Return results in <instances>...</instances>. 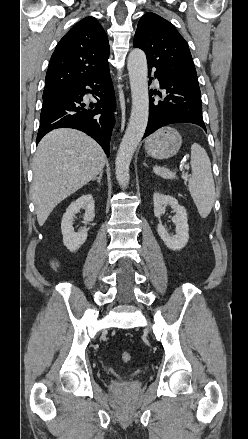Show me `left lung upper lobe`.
<instances>
[{"mask_svg": "<svg viewBox=\"0 0 248 439\" xmlns=\"http://www.w3.org/2000/svg\"><path fill=\"white\" fill-rule=\"evenodd\" d=\"M134 47L142 49L148 64L156 69L198 85L187 42L169 21L159 15L146 13L141 17Z\"/></svg>", "mask_w": 248, "mask_h": 439, "instance_id": "5c2ea615", "label": "left lung upper lobe"}]
</instances>
